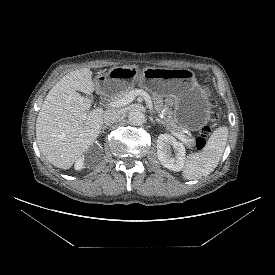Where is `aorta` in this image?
<instances>
[{
    "label": "aorta",
    "instance_id": "1",
    "mask_svg": "<svg viewBox=\"0 0 275 275\" xmlns=\"http://www.w3.org/2000/svg\"><path fill=\"white\" fill-rule=\"evenodd\" d=\"M128 119L133 125H141L145 122V115L139 109H132L128 114Z\"/></svg>",
    "mask_w": 275,
    "mask_h": 275
}]
</instances>
